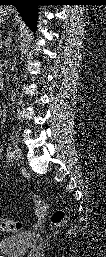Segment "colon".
Segmentation results:
<instances>
[{"label":"colon","instance_id":"obj_1","mask_svg":"<svg viewBox=\"0 0 106 257\" xmlns=\"http://www.w3.org/2000/svg\"><path fill=\"white\" fill-rule=\"evenodd\" d=\"M66 221L65 211L57 209L51 216V223L55 227H62ZM0 229L4 232H18L22 229V223L20 221L1 219Z\"/></svg>","mask_w":106,"mask_h":257}]
</instances>
